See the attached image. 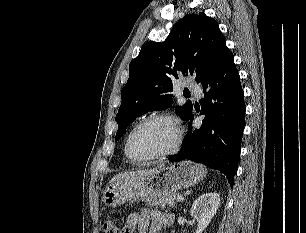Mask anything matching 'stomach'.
Here are the masks:
<instances>
[{
	"label": "stomach",
	"instance_id": "0dacf381",
	"mask_svg": "<svg viewBox=\"0 0 306 233\" xmlns=\"http://www.w3.org/2000/svg\"><path fill=\"white\" fill-rule=\"evenodd\" d=\"M206 174L207 170L201 164L181 161L133 178L109 183L102 199L107 206L116 207L128 201L170 195L197 184Z\"/></svg>",
	"mask_w": 306,
	"mask_h": 233
}]
</instances>
